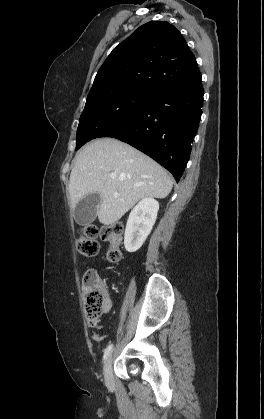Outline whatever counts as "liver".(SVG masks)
<instances>
[{
    "label": "liver",
    "instance_id": "obj_1",
    "mask_svg": "<svg viewBox=\"0 0 264 419\" xmlns=\"http://www.w3.org/2000/svg\"><path fill=\"white\" fill-rule=\"evenodd\" d=\"M111 174L115 178H111ZM173 182L166 170L134 147L113 138L97 139L79 152L70 174L71 207L98 193L99 222L112 225L140 199H163Z\"/></svg>",
    "mask_w": 264,
    "mask_h": 419
}]
</instances>
